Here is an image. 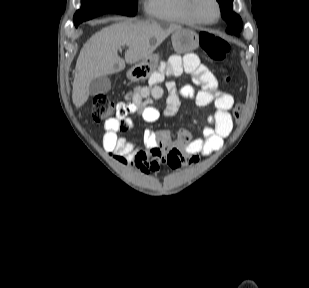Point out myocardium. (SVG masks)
<instances>
[{
	"instance_id": "myocardium-1",
	"label": "myocardium",
	"mask_w": 309,
	"mask_h": 288,
	"mask_svg": "<svg viewBox=\"0 0 309 288\" xmlns=\"http://www.w3.org/2000/svg\"><path fill=\"white\" fill-rule=\"evenodd\" d=\"M217 7V18L213 21L203 19L197 11V0H187V10L194 21L201 25H214L218 23L222 17V6L219 0H213Z\"/></svg>"
}]
</instances>
